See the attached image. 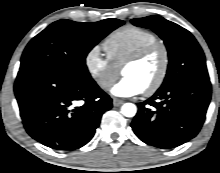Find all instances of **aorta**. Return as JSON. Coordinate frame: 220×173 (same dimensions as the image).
<instances>
[{"label": "aorta", "instance_id": "obj_1", "mask_svg": "<svg viewBox=\"0 0 220 173\" xmlns=\"http://www.w3.org/2000/svg\"><path fill=\"white\" fill-rule=\"evenodd\" d=\"M121 112L125 117H134L137 112V108L133 103H125L122 108Z\"/></svg>", "mask_w": 220, "mask_h": 173}]
</instances>
